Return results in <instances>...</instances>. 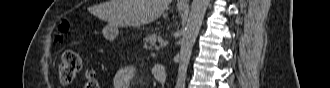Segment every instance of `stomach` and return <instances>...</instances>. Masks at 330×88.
Returning a JSON list of instances; mask_svg holds the SVG:
<instances>
[{"instance_id":"stomach-1","label":"stomach","mask_w":330,"mask_h":88,"mask_svg":"<svg viewBox=\"0 0 330 88\" xmlns=\"http://www.w3.org/2000/svg\"><path fill=\"white\" fill-rule=\"evenodd\" d=\"M179 10L182 11L183 9L180 8ZM117 33H118V30H117L116 25L109 24L104 28V36L109 40L115 39L117 36Z\"/></svg>"}]
</instances>
